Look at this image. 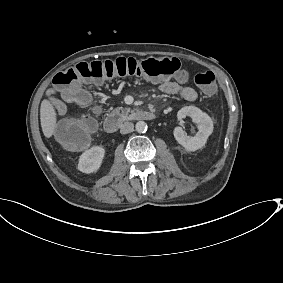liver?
<instances>
[{"label": "liver", "mask_w": 283, "mask_h": 283, "mask_svg": "<svg viewBox=\"0 0 283 283\" xmlns=\"http://www.w3.org/2000/svg\"><path fill=\"white\" fill-rule=\"evenodd\" d=\"M40 121L45 137L50 138L56 128V113L49 100H43L41 103Z\"/></svg>", "instance_id": "liver-1"}]
</instances>
